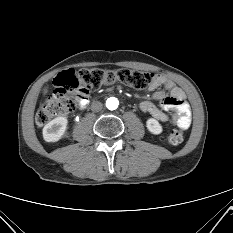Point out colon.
<instances>
[{"label": "colon", "instance_id": "obj_1", "mask_svg": "<svg viewBox=\"0 0 233 233\" xmlns=\"http://www.w3.org/2000/svg\"><path fill=\"white\" fill-rule=\"evenodd\" d=\"M153 74L130 69L103 70L84 68L65 70L55 79V89L49 94L36 114V123L44 126L51 119L74 111L90 92L103 86L121 83L135 89H147L153 81ZM184 140L182 130H173L161 136V141L179 145Z\"/></svg>", "mask_w": 233, "mask_h": 233}]
</instances>
